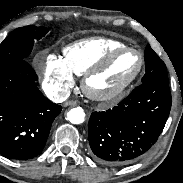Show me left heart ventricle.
<instances>
[{
	"mask_svg": "<svg viewBox=\"0 0 183 183\" xmlns=\"http://www.w3.org/2000/svg\"><path fill=\"white\" fill-rule=\"evenodd\" d=\"M140 59L135 52L127 51L115 57L103 72L91 78L89 87L98 93L112 92L127 83L139 68Z\"/></svg>",
	"mask_w": 183,
	"mask_h": 183,
	"instance_id": "obj_1",
	"label": "left heart ventricle"
}]
</instances>
